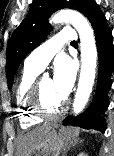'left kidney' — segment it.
Masks as SVG:
<instances>
[{
  "label": "left kidney",
  "instance_id": "obj_1",
  "mask_svg": "<svg viewBox=\"0 0 114 156\" xmlns=\"http://www.w3.org/2000/svg\"><path fill=\"white\" fill-rule=\"evenodd\" d=\"M78 156H87V155L84 153H80V154H78Z\"/></svg>",
  "mask_w": 114,
  "mask_h": 156
}]
</instances>
